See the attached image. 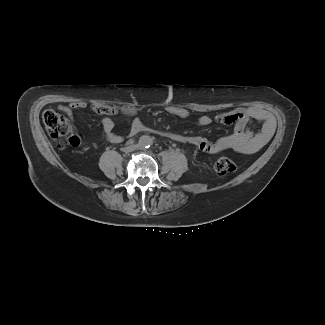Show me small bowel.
I'll list each match as a JSON object with an SVG mask.
<instances>
[{
	"mask_svg": "<svg viewBox=\"0 0 325 325\" xmlns=\"http://www.w3.org/2000/svg\"><path fill=\"white\" fill-rule=\"evenodd\" d=\"M85 107L86 104L84 102H74L68 106H62L61 109L69 116H72L75 111L82 110ZM94 111L102 116L103 139L111 143H121L124 140V136L115 132V124L111 116L118 112L128 116L136 114V109L134 108L126 107L118 111L114 107L106 105H97L94 107ZM165 111L169 115L179 118H188L191 116V112L188 109L175 105L167 106ZM214 120L221 124H233V133L216 140L198 135L189 136L179 133H169L168 136L173 141L193 145L207 153L216 154L231 150L239 154H250L258 151L268 143L275 128L273 116L268 111L258 107L236 108L216 115L214 118L208 115H202L197 119L196 125L206 127ZM253 120L259 121L262 124L261 129L257 132L249 128V124ZM145 130V126L139 120H134L130 125L127 136L134 137ZM74 137L77 141L75 146H78L80 144V138L78 136Z\"/></svg>",
	"mask_w": 325,
	"mask_h": 325,
	"instance_id": "obj_1",
	"label": "small bowel"
}]
</instances>
